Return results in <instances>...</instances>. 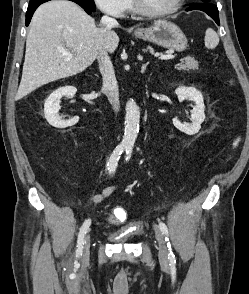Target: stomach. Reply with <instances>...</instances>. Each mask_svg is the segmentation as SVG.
I'll return each instance as SVG.
<instances>
[{
	"mask_svg": "<svg viewBox=\"0 0 249 294\" xmlns=\"http://www.w3.org/2000/svg\"><path fill=\"white\" fill-rule=\"evenodd\" d=\"M134 34L137 38L150 41L167 49L180 52L187 48V38L183 31L167 20H158L148 28L136 30Z\"/></svg>",
	"mask_w": 249,
	"mask_h": 294,
	"instance_id": "stomach-1",
	"label": "stomach"
}]
</instances>
